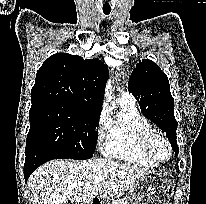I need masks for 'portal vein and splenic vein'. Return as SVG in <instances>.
<instances>
[{
	"label": "portal vein and splenic vein",
	"instance_id": "18ae733b",
	"mask_svg": "<svg viewBox=\"0 0 206 204\" xmlns=\"http://www.w3.org/2000/svg\"><path fill=\"white\" fill-rule=\"evenodd\" d=\"M104 178H103V176H101V175H99V176H96L95 177V182H100V181H102Z\"/></svg>",
	"mask_w": 206,
	"mask_h": 204
}]
</instances>
